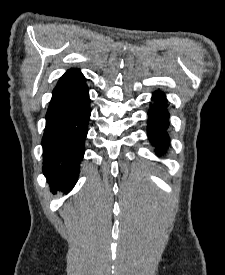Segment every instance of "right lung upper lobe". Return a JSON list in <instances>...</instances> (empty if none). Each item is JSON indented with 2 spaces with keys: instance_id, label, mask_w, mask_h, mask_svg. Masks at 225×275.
<instances>
[{
  "instance_id": "cb5924a9",
  "label": "right lung upper lobe",
  "mask_w": 225,
  "mask_h": 275,
  "mask_svg": "<svg viewBox=\"0 0 225 275\" xmlns=\"http://www.w3.org/2000/svg\"><path fill=\"white\" fill-rule=\"evenodd\" d=\"M85 78L79 71V69H70L68 70L58 81L56 87H61L64 85L74 84L80 81H83Z\"/></svg>"
}]
</instances>
